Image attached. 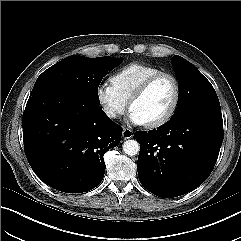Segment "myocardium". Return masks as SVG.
Returning a JSON list of instances; mask_svg holds the SVG:
<instances>
[{"label":"myocardium","instance_id":"f54148a6","mask_svg":"<svg viewBox=\"0 0 241 241\" xmlns=\"http://www.w3.org/2000/svg\"><path fill=\"white\" fill-rule=\"evenodd\" d=\"M163 77H167L172 80V82L174 84V89H175L174 99H173L172 105L170 106L169 110L161 118L144 124V126L149 129H155V128H159V127L165 125L175 115V113L178 109L179 103H180V99H181V86H180V82H179L178 78L174 74L169 73V72L161 71L159 73H156V74L150 76L148 79H146L137 88V90L132 94L131 98L128 101L129 109L131 111L133 104L137 100H139L141 97H143L146 94V92L150 89V87L157 80H159L160 78H163Z\"/></svg>","mask_w":241,"mask_h":241}]
</instances>
